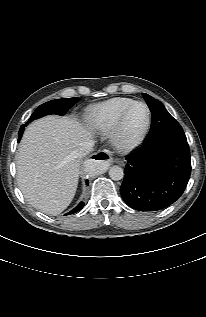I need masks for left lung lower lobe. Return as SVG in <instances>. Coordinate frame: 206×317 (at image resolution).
<instances>
[{"instance_id": "left-lung-lower-lobe-1", "label": "left lung lower lobe", "mask_w": 206, "mask_h": 317, "mask_svg": "<svg viewBox=\"0 0 206 317\" xmlns=\"http://www.w3.org/2000/svg\"><path fill=\"white\" fill-rule=\"evenodd\" d=\"M126 160L120 194L133 209H163L178 200L189 181L191 159L186 138L145 141Z\"/></svg>"}]
</instances>
